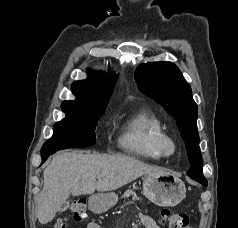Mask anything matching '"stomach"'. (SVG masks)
<instances>
[{
  "mask_svg": "<svg viewBox=\"0 0 238 228\" xmlns=\"http://www.w3.org/2000/svg\"><path fill=\"white\" fill-rule=\"evenodd\" d=\"M143 194L155 205L173 207L186 197V187L174 173L154 172L145 176ZM117 201L118 196L114 192L98 193L90 197L89 207L92 211L101 213L113 207Z\"/></svg>",
  "mask_w": 238,
  "mask_h": 228,
  "instance_id": "1",
  "label": "stomach"
}]
</instances>
